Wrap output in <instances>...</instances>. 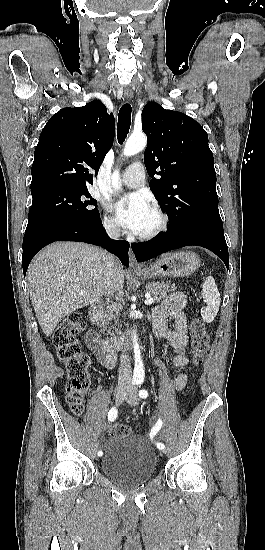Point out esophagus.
Returning a JSON list of instances; mask_svg holds the SVG:
<instances>
[{"label":"esophagus","mask_w":265,"mask_h":550,"mask_svg":"<svg viewBox=\"0 0 265 550\" xmlns=\"http://www.w3.org/2000/svg\"><path fill=\"white\" fill-rule=\"evenodd\" d=\"M124 98L129 101L133 98V92L130 91V90H125L124 91ZM129 262H130V267L133 268V269H139L141 268L140 264L137 262L136 258H135V255L133 253V251L130 249L129 250Z\"/></svg>","instance_id":"esophagus-1"}]
</instances>
